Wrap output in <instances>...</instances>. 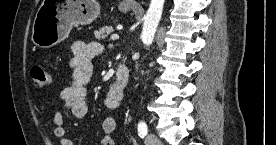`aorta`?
<instances>
[{"mask_svg": "<svg viewBox=\"0 0 276 145\" xmlns=\"http://www.w3.org/2000/svg\"><path fill=\"white\" fill-rule=\"evenodd\" d=\"M165 0H151L150 6L144 17L141 39L144 45L150 46L161 20Z\"/></svg>", "mask_w": 276, "mask_h": 145, "instance_id": "762f6f07", "label": "aorta"}]
</instances>
